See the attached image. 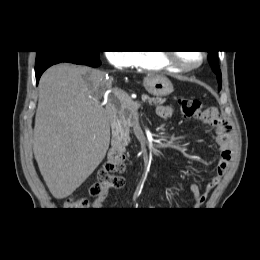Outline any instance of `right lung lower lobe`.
I'll return each mask as SVG.
<instances>
[{
    "instance_id": "obj_1",
    "label": "right lung lower lobe",
    "mask_w": 260,
    "mask_h": 260,
    "mask_svg": "<svg viewBox=\"0 0 260 260\" xmlns=\"http://www.w3.org/2000/svg\"><path fill=\"white\" fill-rule=\"evenodd\" d=\"M60 62H70L74 64L87 65L91 67H97L101 63L99 58L87 56V55H77L72 53H63L55 55L45 62L41 63L39 66L35 67L36 81L38 83L42 73L54 64H58Z\"/></svg>"
}]
</instances>
